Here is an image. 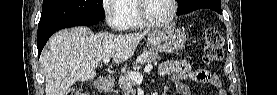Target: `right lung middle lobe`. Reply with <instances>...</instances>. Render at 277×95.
Instances as JSON below:
<instances>
[{
	"mask_svg": "<svg viewBox=\"0 0 277 95\" xmlns=\"http://www.w3.org/2000/svg\"><path fill=\"white\" fill-rule=\"evenodd\" d=\"M105 18L102 0H43L38 28L55 23H82Z\"/></svg>",
	"mask_w": 277,
	"mask_h": 95,
	"instance_id": "right-lung-middle-lobe-1",
	"label": "right lung middle lobe"
}]
</instances>
